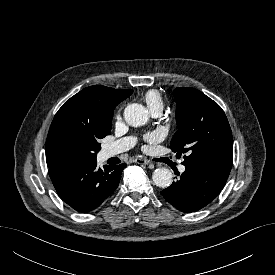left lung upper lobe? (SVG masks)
Returning <instances> with one entry per match:
<instances>
[{
  "label": "left lung upper lobe",
  "mask_w": 275,
  "mask_h": 275,
  "mask_svg": "<svg viewBox=\"0 0 275 275\" xmlns=\"http://www.w3.org/2000/svg\"><path fill=\"white\" fill-rule=\"evenodd\" d=\"M174 96L178 131L171 140V149L186 154L184 165L230 172L233 139L222 108L195 88L178 87Z\"/></svg>",
  "instance_id": "5c2ea615"
}]
</instances>
